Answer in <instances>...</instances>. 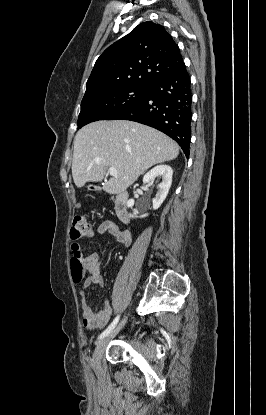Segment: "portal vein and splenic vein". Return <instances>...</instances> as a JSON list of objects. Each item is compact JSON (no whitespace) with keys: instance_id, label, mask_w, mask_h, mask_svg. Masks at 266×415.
<instances>
[{"instance_id":"obj_1","label":"portal vein and splenic vein","mask_w":266,"mask_h":415,"mask_svg":"<svg viewBox=\"0 0 266 415\" xmlns=\"http://www.w3.org/2000/svg\"><path fill=\"white\" fill-rule=\"evenodd\" d=\"M108 172L113 177H117L118 176L117 170L114 167H109Z\"/></svg>"}]
</instances>
